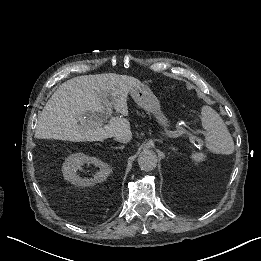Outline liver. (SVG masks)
<instances>
[{
    "label": "liver",
    "instance_id": "obj_1",
    "mask_svg": "<svg viewBox=\"0 0 261 261\" xmlns=\"http://www.w3.org/2000/svg\"><path fill=\"white\" fill-rule=\"evenodd\" d=\"M139 86L138 79L114 73L67 80L53 93L38 117L35 138L72 142L103 141L123 135L132 138L126 118L112 117L103 127L89 124L103 111L104 100L112 102L117 113L128 116V93Z\"/></svg>",
    "mask_w": 261,
    "mask_h": 261
}]
</instances>
